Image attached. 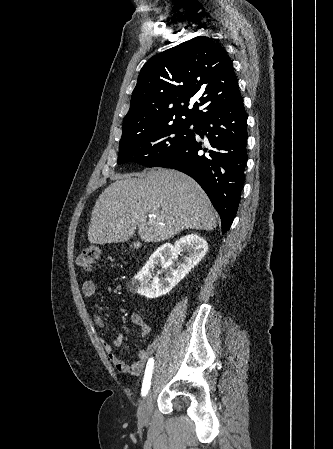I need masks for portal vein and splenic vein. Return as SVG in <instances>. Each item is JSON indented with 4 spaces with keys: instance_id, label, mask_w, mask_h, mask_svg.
<instances>
[{
    "instance_id": "1",
    "label": "portal vein and splenic vein",
    "mask_w": 333,
    "mask_h": 449,
    "mask_svg": "<svg viewBox=\"0 0 333 449\" xmlns=\"http://www.w3.org/2000/svg\"><path fill=\"white\" fill-rule=\"evenodd\" d=\"M153 217H155V215L149 214V218H153Z\"/></svg>"
}]
</instances>
